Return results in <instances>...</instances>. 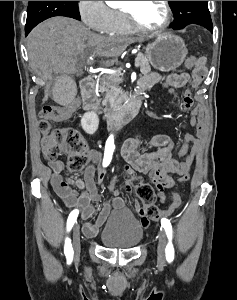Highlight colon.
Here are the masks:
<instances>
[{
  "instance_id": "obj_1",
  "label": "colon",
  "mask_w": 237,
  "mask_h": 300,
  "mask_svg": "<svg viewBox=\"0 0 237 300\" xmlns=\"http://www.w3.org/2000/svg\"><path fill=\"white\" fill-rule=\"evenodd\" d=\"M202 58L190 57L185 62L186 68L194 67ZM52 107L46 106L40 112L39 130L42 134V154L46 160H55L65 151L70 152L67 163V170L77 172L83 169L91 160L89 149L85 139L74 128L54 127L50 123ZM131 187L136 196L143 203L145 215L149 219H157L161 211L156 205V195L152 186L133 173L127 175ZM190 179L188 173L179 175L180 182H186ZM173 200H180L178 195H173Z\"/></svg>"
}]
</instances>
